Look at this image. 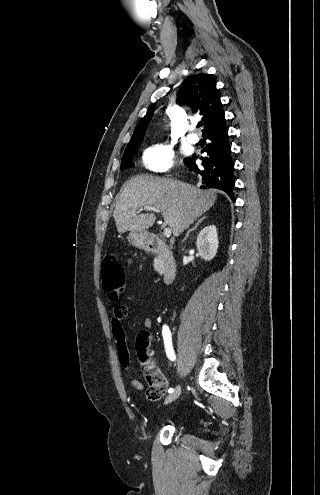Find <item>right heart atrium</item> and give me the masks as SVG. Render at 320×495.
Returning <instances> with one entry per match:
<instances>
[{"mask_svg": "<svg viewBox=\"0 0 320 495\" xmlns=\"http://www.w3.org/2000/svg\"><path fill=\"white\" fill-rule=\"evenodd\" d=\"M175 162V151L167 142H159L147 147L142 154V164L156 173L169 171Z\"/></svg>", "mask_w": 320, "mask_h": 495, "instance_id": "right-heart-atrium-1", "label": "right heart atrium"}]
</instances>
